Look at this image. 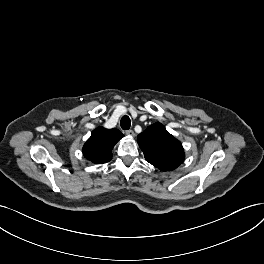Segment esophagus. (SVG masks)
Masks as SVG:
<instances>
[{
	"mask_svg": "<svg viewBox=\"0 0 264 264\" xmlns=\"http://www.w3.org/2000/svg\"><path fill=\"white\" fill-rule=\"evenodd\" d=\"M125 134L130 137H133L135 135L133 130H127Z\"/></svg>",
	"mask_w": 264,
	"mask_h": 264,
	"instance_id": "obj_1",
	"label": "esophagus"
}]
</instances>
